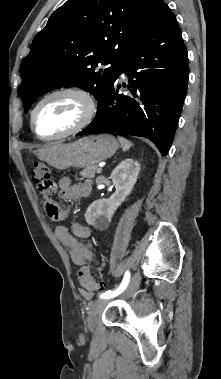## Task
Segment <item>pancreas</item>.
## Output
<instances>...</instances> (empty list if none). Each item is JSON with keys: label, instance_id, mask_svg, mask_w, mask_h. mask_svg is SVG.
I'll use <instances>...</instances> for the list:
<instances>
[{"label": "pancreas", "instance_id": "1", "mask_svg": "<svg viewBox=\"0 0 221 379\" xmlns=\"http://www.w3.org/2000/svg\"><path fill=\"white\" fill-rule=\"evenodd\" d=\"M97 166L86 167L82 170L81 175L84 178H93L96 174Z\"/></svg>", "mask_w": 221, "mask_h": 379}]
</instances>
